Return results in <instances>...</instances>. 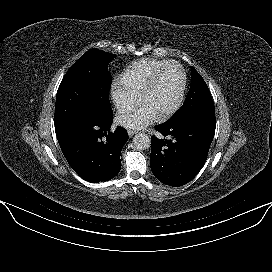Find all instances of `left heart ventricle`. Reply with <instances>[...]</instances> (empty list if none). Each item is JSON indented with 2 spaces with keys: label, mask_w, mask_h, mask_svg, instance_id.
Here are the masks:
<instances>
[{
  "label": "left heart ventricle",
  "mask_w": 272,
  "mask_h": 272,
  "mask_svg": "<svg viewBox=\"0 0 272 272\" xmlns=\"http://www.w3.org/2000/svg\"><path fill=\"white\" fill-rule=\"evenodd\" d=\"M182 82L178 67H169L160 78L157 86L147 95L143 103L152 108L157 115L169 109L176 102Z\"/></svg>",
  "instance_id": "left-heart-ventricle-1"
}]
</instances>
